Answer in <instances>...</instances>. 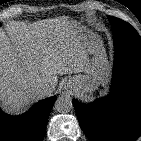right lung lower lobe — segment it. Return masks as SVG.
I'll list each match as a JSON object with an SVG mask.
<instances>
[{
	"mask_svg": "<svg viewBox=\"0 0 141 141\" xmlns=\"http://www.w3.org/2000/svg\"><path fill=\"white\" fill-rule=\"evenodd\" d=\"M54 100H42L21 116H9L0 109V141H41Z\"/></svg>",
	"mask_w": 141,
	"mask_h": 141,
	"instance_id": "1",
	"label": "right lung lower lobe"
}]
</instances>
